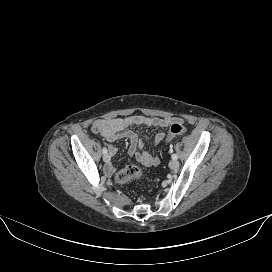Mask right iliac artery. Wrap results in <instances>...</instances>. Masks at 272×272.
Returning <instances> with one entry per match:
<instances>
[{
	"instance_id": "1",
	"label": "right iliac artery",
	"mask_w": 272,
	"mask_h": 272,
	"mask_svg": "<svg viewBox=\"0 0 272 272\" xmlns=\"http://www.w3.org/2000/svg\"><path fill=\"white\" fill-rule=\"evenodd\" d=\"M102 152H103V154H107V149L104 147Z\"/></svg>"
}]
</instances>
